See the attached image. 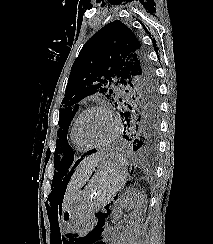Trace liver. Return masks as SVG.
Returning a JSON list of instances; mask_svg holds the SVG:
<instances>
[{
	"mask_svg": "<svg viewBox=\"0 0 213 244\" xmlns=\"http://www.w3.org/2000/svg\"><path fill=\"white\" fill-rule=\"evenodd\" d=\"M105 153H95L91 156L86 157L75 169L70 182L67 186L64 201L63 211L67 209L69 203L77 193V191L83 186V184L92 175L94 169L97 167L100 158Z\"/></svg>",
	"mask_w": 213,
	"mask_h": 244,
	"instance_id": "1",
	"label": "liver"
}]
</instances>
